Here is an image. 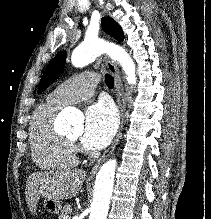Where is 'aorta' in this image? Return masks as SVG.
<instances>
[{"label": "aorta", "instance_id": "obj_1", "mask_svg": "<svg viewBox=\"0 0 211 219\" xmlns=\"http://www.w3.org/2000/svg\"><path fill=\"white\" fill-rule=\"evenodd\" d=\"M103 51L104 48L100 41H84L72 52V64L75 67H84L94 61ZM109 54L122 66L127 75L128 83L136 84L135 65L129 54L120 47L112 48ZM62 119L67 124L73 125L72 131L74 134L80 135L83 133V118L79 112L67 108L62 111ZM115 168L116 161L109 160L98 171L89 219H107L114 185Z\"/></svg>", "mask_w": 211, "mask_h": 219}]
</instances>
